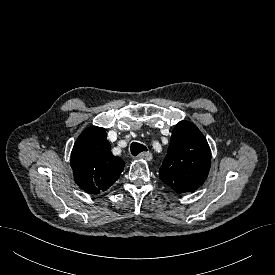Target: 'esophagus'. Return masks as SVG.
<instances>
[{
  "mask_svg": "<svg viewBox=\"0 0 275 275\" xmlns=\"http://www.w3.org/2000/svg\"><path fill=\"white\" fill-rule=\"evenodd\" d=\"M138 158L139 159H143L145 161H150L152 159V153L147 151V152H141L139 155H138Z\"/></svg>",
  "mask_w": 275,
  "mask_h": 275,
  "instance_id": "1",
  "label": "esophagus"
}]
</instances>
